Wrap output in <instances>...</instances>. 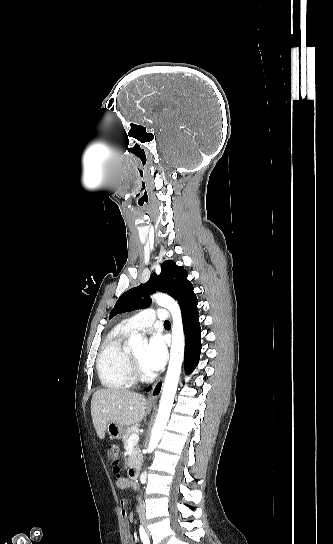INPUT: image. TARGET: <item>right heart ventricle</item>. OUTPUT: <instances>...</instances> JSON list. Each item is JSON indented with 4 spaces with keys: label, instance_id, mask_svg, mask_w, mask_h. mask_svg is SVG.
<instances>
[{
    "label": "right heart ventricle",
    "instance_id": "obj_1",
    "mask_svg": "<svg viewBox=\"0 0 333 544\" xmlns=\"http://www.w3.org/2000/svg\"><path fill=\"white\" fill-rule=\"evenodd\" d=\"M130 333L124 325L112 330L102 342L97 358V373L103 386L110 389H125L134 385L129 349L125 339Z\"/></svg>",
    "mask_w": 333,
    "mask_h": 544
}]
</instances>
